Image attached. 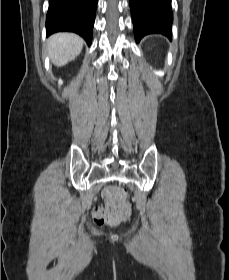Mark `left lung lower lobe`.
<instances>
[{
  "label": "left lung lower lobe",
  "mask_w": 229,
  "mask_h": 280,
  "mask_svg": "<svg viewBox=\"0 0 229 280\" xmlns=\"http://www.w3.org/2000/svg\"><path fill=\"white\" fill-rule=\"evenodd\" d=\"M136 42L152 33L172 39L171 0H129Z\"/></svg>",
  "instance_id": "1"
}]
</instances>
